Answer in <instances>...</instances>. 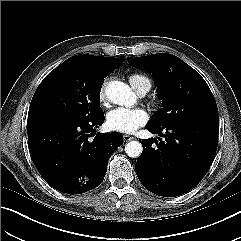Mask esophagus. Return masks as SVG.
<instances>
[{
  "mask_svg": "<svg viewBox=\"0 0 241 241\" xmlns=\"http://www.w3.org/2000/svg\"><path fill=\"white\" fill-rule=\"evenodd\" d=\"M135 139V137H133V136H130V135H123V140H124V142H128V141H131V140H134Z\"/></svg>",
  "mask_w": 241,
  "mask_h": 241,
  "instance_id": "esophagus-1",
  "label": "esophagus"
}]
</instances>
